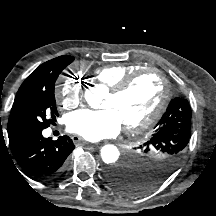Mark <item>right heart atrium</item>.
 Masks as SVG:
<instances>
[{
	"label": "right heart atrium",
	"instance_id": "1",
	"mask_svg": "<svg viewBox=\"0 0 216 216\" xmlns=\"http://www.w3.org/2000/svg\"><path fill=\"white\" fill-rule=\"evenodd\" d=\"M83 86L78 78H63L56 90L55 96L58 102L68 108L77 107L82 101Z\"/></svg>",
	"mask_w": 216,
	"mask_h": 216
}]
</instances>
